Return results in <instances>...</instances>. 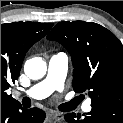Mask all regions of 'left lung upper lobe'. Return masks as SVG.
Wrapping results in <instances>:
<instances>
[{"instance_id": "5c2ea615", "label": "left lung upper lobe", "mask_w": 123, "mask_h": 123, "mask_svg": "<svg viewBox=\"0 0 123 123\" xmlns=\"http://www.w3.org/2000/svg\"><path fill=\"white\" fill-rule=\"evenodd\" d=\"M71 55L73 88L87 92L97 107L113 103L123 108V45L103 26L85 21L60 22L47 36Z\"/></svg>"}]
</instances>
